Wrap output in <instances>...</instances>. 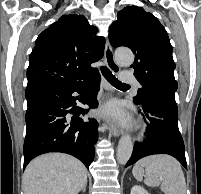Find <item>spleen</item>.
Returning a JSON list of instances; mask_svg holds the SVG:
<instances>
[{
  "label": "spleen",
  "mask_w": 201,
  "mask_h": 194,
  "mask_svg": "<svg viewBox=\"0 0 201 194\" xmlns=\"http://www.w3.org/2000/svg\"><path fill=\"white\" fill-rule=\"evenodd\" d=\"M132 174L137 181H142L144 177V183L149 187L161 185L165 194H186L181 166L169 155H152L139 160L134 165Z\"/></svg>",
  "instance_id": "3e777b00"
}]
</instances>
